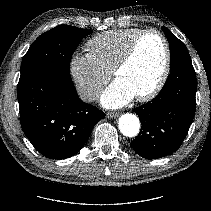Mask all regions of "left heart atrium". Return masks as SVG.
I'll use <instances>...</instances> for the list:
<instances>
[{
    "mask_svg": "<svg viewBox=\"0 0 211 211\" xmlns=\"http://www.w3.org/2000/svg\"><path fill=\"white\" fill-rule=\"evenodd\" d=\"M135 97L134 93L121 81L114 80L103 92L101 103L106 108H119Z\"/></svg>",
    "mask_w": 211,
    "mask_h": 211,
    "instance_id": "obj_1",
    "label": "left heart atrium"
}]
</instances>
